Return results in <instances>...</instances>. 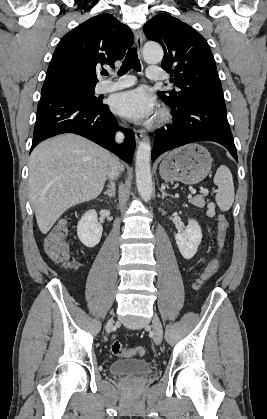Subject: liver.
I'll return each mask as SVG.
<instances>
[{"label":"liver","mask_w":267,"mask_h":419,"mask_svg":"<svg viewBox=\"0 0 267 419\" xmlns=\"http://www.w3.org/2000/svg\"><path fill=\"white\" fill-rule=\"evenodd\" d=\"M111 154L90 140L62 134L34 148L29 158V197L42 234L69 208L102 192Z\"/></svg>","instance_id":"liver-1"}]
</instances>
